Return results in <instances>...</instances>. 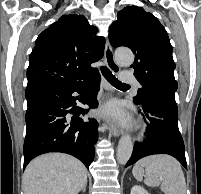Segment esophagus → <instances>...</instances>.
<instances>
[{"label": "esophagus", "mask_w": 201, "mask_h": 194, "mask_svg": "<svg viewBox=\"0 0 201 194\" xmlns=\"http://www.w3.org/2000/svg\"><path fill=\"white\" fill-rule=\"evenodd\" d=\"M104 58H105V62L107 64V67L113 73L117 74L120 71V67L115 62L113 50H112V47H111V45L109 44L108 41L106 42V45H105ZM107 128H108L109 134L111 136H114V137L119 136L120 129H119L118 125L114 121L109 119L107 121Z\"/></svg>", "instance_id": "1"}]
</instances>
